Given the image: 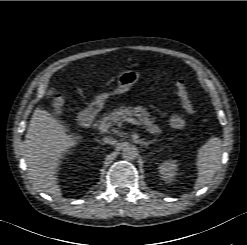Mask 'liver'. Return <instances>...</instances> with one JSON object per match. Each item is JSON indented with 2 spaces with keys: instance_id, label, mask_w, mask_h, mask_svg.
Here are the masks:
<instances>
[{
  "instance_id": "liver-1",
  "label": "liver",
  "mask_w": 247,
  "mask_h": 245,
  "mask_svg": "<svg viewBox=\"0 0 247 245\" xmlns=\"http://www.w3.org/2000/svg\"><path fill=\"white\" fill-rule=\"evenodd\" d=\"M80 138L49 112L36 108L25 137V161L32 184L53 197L61 196L58 167Z\"/></svg>"
}]
</instances>
